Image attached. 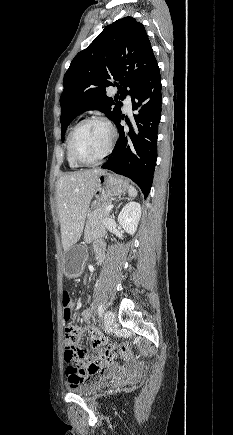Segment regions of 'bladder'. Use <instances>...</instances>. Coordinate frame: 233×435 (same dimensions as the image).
Listing matches in <instances>:
<instances>
[{
    "label": "bladder",
    "mask_w": 233,
    "mask_h": 435,
    "mask_svg": "<svg viewBox=\"0 0 233 435\" xmlns=\"http://www.w3.org/2000/svg\"><path fill=\"white\" fill-rule=\"evenodd\" d=\"M107 380V377L99 378L94 380L93 382L87 383V384H74L69 382L66 385V389L70 391L71 393L79 394V395H90L95 390L100 388L103 383Z\"/></svg>",
    "instance_id": "bladder-1"
}]
</instances>
